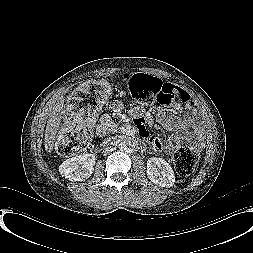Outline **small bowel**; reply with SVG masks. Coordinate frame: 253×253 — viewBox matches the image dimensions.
<instances>
[{"label":"small bowel","mask_w":253,"mask_h":253,"mask_svg":"<svg viewBox=\"0 0 253 253\" xmlns=\"http://www.w3.org/2000/svg\"><path fill=\"white\" fill-rule=\"evenodd\" d=\"M175 92L179 95V100L174 102L172 109L178 111L183 105H186L187 112L191 121V124L198 129L200 123V117L195 110L191 96L181 89L180 87L173 85ZM124 106L119 101H112L109 104V112H105L100 121L95 124L96 133L99 136H106L116 129V125L112 119V114H123ZM137 132L141 138L146 140L151 150L155 153L172 152L179 144L177 137L169 138L165 141L154 137L149 134L146 129V125H151L156 119L167 130H180L184 132L186 140L194 143L196 148H200L201 141L199 132L194 136L188 129L187 125L180 122L171 112L164 109H150L148 111L143 110L140 107H134L130 110Z\"/></svg>","instance_id":"1"}]
</instances>
